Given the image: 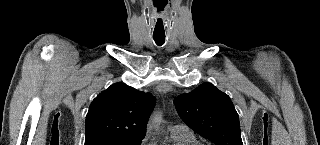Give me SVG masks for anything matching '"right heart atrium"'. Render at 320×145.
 <instances>
[{"instance_id":"d8ad5b80","label":"right heart atrium","mask_w":320,"mask_h":145,"mask_svg":"<svg viewBox=\"0 0 320 145\" xmlns=\"http://www.w3.org/2000/svg\"><path fill=\"white\" fill-rule=\"evenodd\" d=\"M142 144L143 145H151V143L149 142V137L148 136L144 137V139L142 140Z\"/></svg>"}]
</instances>
